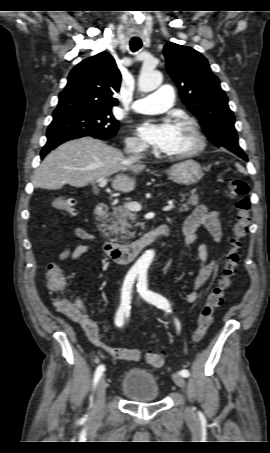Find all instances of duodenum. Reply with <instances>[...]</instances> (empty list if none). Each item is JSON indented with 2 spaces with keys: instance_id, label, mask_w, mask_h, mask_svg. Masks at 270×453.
<instances>
[{
  "instance_id": "410a0bca",
  "label": "duodenum",
  "mask_w": 270,
  "mask_h": 453,
  "mask_svg": "<svg viewBox=\"0 0 270 453\" xmlns=\"http://www.w3.org/2000/svg\"><path fill=\"white\" fill-rule=\"evenodd\" d=\"M109 207L105 204H98L96 208V215L99 220L104 219L107 216ZM170 230L169 226H161L155 230L150 231L140 239L128 243L119 244L116 242L106 241L103 244L104 253L112 261L116 263H127L134 260L140 252L154 242L156 239L165 237Z\"/></svg>"
}]
</instances>
